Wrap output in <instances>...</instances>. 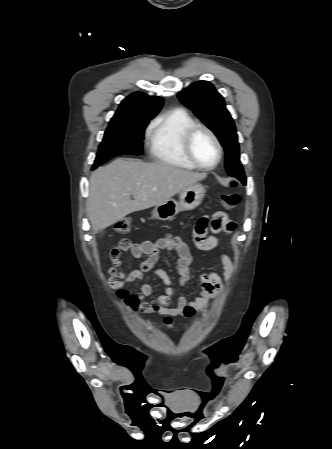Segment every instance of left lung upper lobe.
<instances>
[{
  "label": "left lung upper lobe",
  "mask_w": 332,
  "mask_h": 449,
  "mask_svg": "<svg viewBox=\"0 0 332 449\" xmlns=\"http://www.w3.org/2000/svg\"><path fill=\"white\" fill-rule=\"evenodd\" d=\"M178 98L215 133L226 153L227 173L245 185L236 128L223 97L208 81H198L179 92Z\"/></svg>",
  "instance_id": "left-lung-upper-lobe-1"
}]
</instances>
